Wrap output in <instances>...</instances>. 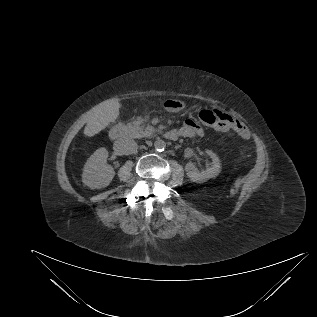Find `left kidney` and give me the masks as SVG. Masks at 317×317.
<instances>
[{"mask_svg": "<svg viewBox=\"0 0 317 317\" xmlns=\"http://www.w3.org/2000/svg\"><path fill=\"white\" fill-rule=\"evenodd\" d=\"M206 153L212 159V167L206 170H199L192 162H188L185 166L186 174L193 182L203 183L210 178H215L221 172L220 160L218 156L211 150H207Z\"/></svg>", "mask_w": 317, "mask_h": 317, "instance_id": "1", "label": "left kidney"}]
</instances>
